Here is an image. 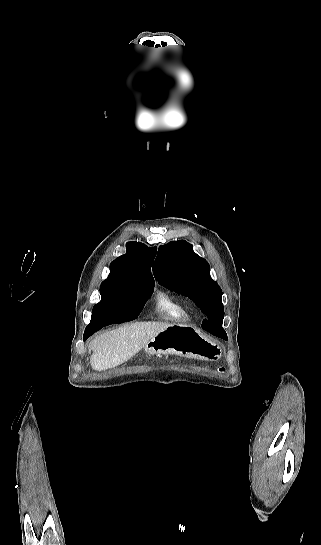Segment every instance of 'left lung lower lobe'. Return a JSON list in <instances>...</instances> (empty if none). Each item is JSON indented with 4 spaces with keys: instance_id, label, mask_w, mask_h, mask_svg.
<instances>
[{
    "instance_id": "1",
    "label": "left lung lower lobe",
    "mask_w": 321,
    "mask_h": 545,
    "mask_svg": "<svg viewBox=\"0 0 321 545\" xmlns=\"http://www.w3.org/2000/svg\"><path fill=\"white\" fill-rule=\"evenodd\" d=\"M222 322L223 317H221L217 313H212L207 315V321L202 323V328L216 336H219V334H222L224 332L221 326Z\"/></svg>"
}]
</instances>
